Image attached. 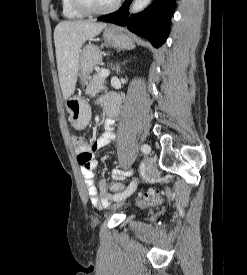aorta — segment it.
<instances>
[{"label": "aorta", "mask_w": 247, "mask_h": 275, "mask_svg": "<svg viewBox=\"0 0 247 275\" xmlns=\"http://www.w3.org/2000/svg\"><path fill=\"white\" fill-rule=\"evenodd\" d=\"M150 2L151 0H134L131 7V12L138 13L144 10L150 4Z\"/></svg>", "instance_id": "aorta-1"}]
</instances>
